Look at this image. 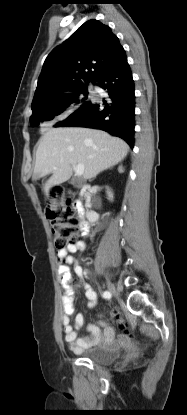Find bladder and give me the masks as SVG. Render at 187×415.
I'll use <instances>...</instances> for the list:
<instances>
[{
  "label": "bladder",
  "mask_w": 187,
  "mask_h": 415,
  "mask_svg": "<svg viewBox=\"0 0 187 415\" xmlns=\"http://www.w3.org/2000/svg\"><path fill=\"white\" fill-rule=\"evenodd\" d=\"M122 353L121 347L108 348V349H95L83 351L80 355L94 363L101 365H109L116 362Z\"/></svg>",
  "instance_id": "1"
}]
</instances>
